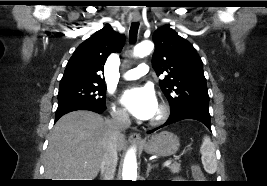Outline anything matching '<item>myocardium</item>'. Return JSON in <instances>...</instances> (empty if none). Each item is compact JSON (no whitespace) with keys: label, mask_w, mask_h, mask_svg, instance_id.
Wrapping results in <instances>:
<instances>
[{"label":"myocardium","mask_w":267,"mask_h":186,"mask_svg":"<svg viewBox=\"0 0 267 186\" xmlns=\"http://www.w3.org/2000/svg\"><path fill=\"white\" fill-rule=\"evenodd\" d=\"M169 107L167 104L165 103H159L158 105V114L156 115V117L152 118L149 121V125L151 126H159L161 124H163L167 118L169 117Z\"/></svg>","instance_id":"obj_1"}]
</instances>
